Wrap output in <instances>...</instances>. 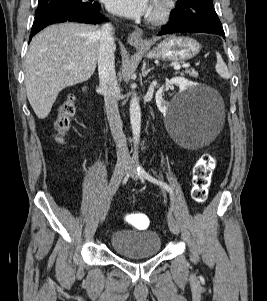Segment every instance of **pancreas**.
<instances>
[{
    "label": "pancreas",
    "mask_w": 267,
    "mask_h": 301,
    "mask_svg": "<svg viewBox=\"0 0 267 301\" xmlns=\"http://www.w3.org/2000/svg\"><path fill=\"white\" fill-rule=\"evenodd\" d=\"M185 74H188L191 77L197 78L198 72H196L194 69L186 70Z\"/></svg>",
    "instance_id": "pancreas-1"
}]
</instances>
